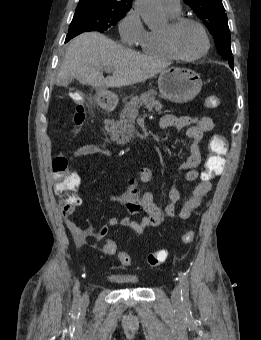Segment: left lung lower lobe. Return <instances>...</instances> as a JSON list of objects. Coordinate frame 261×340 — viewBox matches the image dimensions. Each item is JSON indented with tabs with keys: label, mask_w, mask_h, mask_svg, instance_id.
Instances as JSON below:
<instances>
[{
	"label": "left lung lower lobe",
	"mask_w": 261,
	"mask_h": 340,
	"mask_svg": "<svg viewBox=\"0 0 261 340\" xmlns=\"http://www.w3.org/2000/svg\"><path fill=\"white\" fill-rule=\"evenodd\" d=\"M230 65V67L232 68V69H234V65L233 64H229Z\"/></svg>",
	"instance_id": "obj_1"
}]
</instances>
